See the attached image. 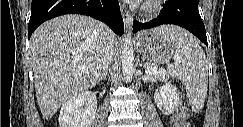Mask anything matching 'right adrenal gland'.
Instances as JSON below:
<instances>
[{
    "label": "right adrenal gland",
    "instance_id": "right-adrenal-gland-1",
    "mask_svg": "<svg viewBox=\"0 0 243 127\" xmlns=\"http://www.w3.org/2000/svg\"><path fill=\"white\" fill-rule=\"evenodd\" d=\"M106 76H107V72H102V74L99 76L98 78V82L102 81V80H106Z\"/></svg>",
    "mask_w": 243,
    "mask_h": 127
}]
</instances>
